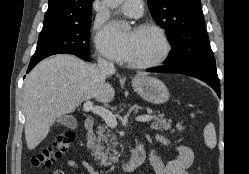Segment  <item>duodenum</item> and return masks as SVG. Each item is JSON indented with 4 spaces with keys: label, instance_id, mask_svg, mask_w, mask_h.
Instances as JSON below:
<instances>
[{
    "label": "duodenum",
    "instance_id": "410a0bca",
    "mask_svg": "<svg viewBox=\"0 0 249 174\" xmlns=\"http://www.w3.org/2000/svg\"><path fill=\"white\" fill-rule=\"evenodd\" d=\"M94 127H95V122L93 119L88 118L84 121V128L86 129L87 132H91L94 129ZM145 157H146V149L141 143H138L132 154L131 159L121 167V170L124 173H130L134 171L143 163Z\"/></svg>",
    "mask_w": 249,
    "mask_h": 174
}]
</instances>
